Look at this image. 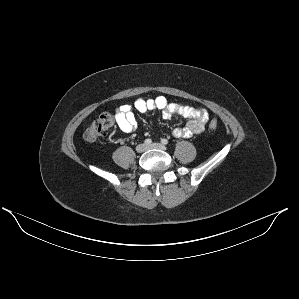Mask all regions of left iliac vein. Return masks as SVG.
Instances as JSON below:
<instances>
[{"label":"left iliac vein","mask_w":299,"mask_h":299,"mask_svg":"<svg viewBox=\"0 0 299 299\" xmlns=\"http://www.w3.org/2000/svg\"><path fill=\"white\" fill-rule=\"evenodd\" d=\"M147 149H160V150H166V146H164L161 143H152L147 146Z\"/></svg>","instance_id":"1"}]
</instances>
